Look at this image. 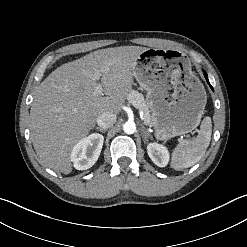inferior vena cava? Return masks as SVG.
I'll list each match as a JSON object with an SVG mask.
<instances>
[{"instance_id":"602c4592","label":"inferior vena cava","mask_w":247,"mask_h":247,"mask_svg":"<svg viewBox=\"0 0 247 247\" xmlns=\"http://www.w3.org/2000/svg\"><path fill=\"white\" fill-rule=\"evenodd\" d=\"M117 116L112 112H104L97 118V124L100 128L107 129L114 125Z\"/></svg>"}]
</instances>
